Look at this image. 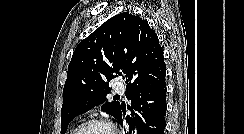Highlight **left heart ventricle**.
Returning <instances> with one entry per match:
<instances>
[{
    "instance_id": "left-heart-ventricle-1",
    "label": "left heart ventricle",
    "mask_w": 244,
    "mask_h": 134,
    "mask_svg": "<svg viewBox=\"0 0 244 134\" xmlns=\"http://www.w3.org/2000/svg\"><path fill=\"white\" fill-rule=\"evenodd\" d=\"M80 134H112L109 129L100 125L89 126Z\"/></svg>"
}]
</instances>
